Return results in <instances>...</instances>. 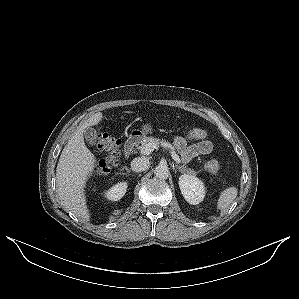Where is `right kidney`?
Returning <instances> with one entry per match:
<instances>
[{
	"instance_id": "1",
	"label": "right kidney",
	"mask_w": 299,
	"mask_h": 299,
	"mask_svg": "<svg viewBox=\"0 0 299 299\" xmlns=\"http://www.w3.org/2000/svg\"><path fill=\"white\" fill-rule=\"evenodd\" d=\"M127 187L126 182L117 183L105 192V197L111 201H118L125 195Z\"/></svg>"
}]
</instances>
